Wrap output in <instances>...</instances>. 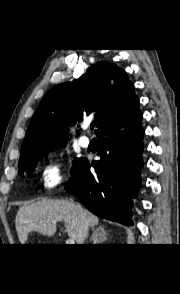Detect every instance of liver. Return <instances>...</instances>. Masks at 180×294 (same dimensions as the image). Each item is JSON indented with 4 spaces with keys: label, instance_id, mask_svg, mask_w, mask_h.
I'll list each match as a JSON object with an SVG mask.
<instances>
[{
    "label": "liver",
    "instance_id": "liver-1",
    "mask_svg": "<svg viewBox=\"0 0 180 294\" xmlns=\"http://www.w3.org/2000/svg\"><path fill=\"white\" fill-rule=\"evenodd\" d=\"M84 219L92 228L99 222L97 216L73 202L62 199H42L19 208L15 227L20 244H25L30 232L53 236L57 222L64 221L68 236L77 244H83Z\"/></svg>",
    "mask_w": 180,
    "mask_h": 294
}]
</instances>
